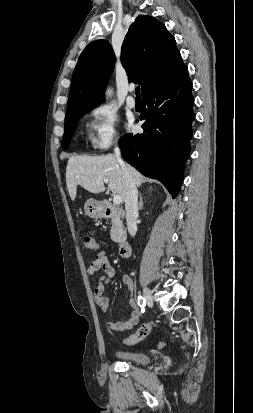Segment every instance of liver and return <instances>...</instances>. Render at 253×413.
<instances>
[{
	"label": "liver",
	"mask_w": 253,
	"mask_h": 413,
	"mask_svg": "<svg viewBox=\"0 0 253 413\" xmlns=\"http://www.w3.org/2000/svg\"><path fill=\"white\" fill-rule=\"evenodd\" d=\"M136 186H141L144 177L135 168L127 165ZM109 182V189L126 199V182L118 160L111 156H73L66 168V184L71 200H75L77 186L98 194L105 191L104 180Z\"/></svg>",
	"instance_id": "obj_1"
}]
</instances>
